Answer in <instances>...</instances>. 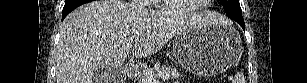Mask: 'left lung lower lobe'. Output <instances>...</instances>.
<instances>
[{"label": "left lung lower lobe", "mask_w": 307, "mask_h": 83, "mask_svg": "<svg viewBox=\"0 0 307 83\" xmlns=\"http://www.w3.org/2000/svg\"><path fill=\"white\" fill-rule=\"evenodd\" d=\"M240 24V26L244 29L245 26H244V23L243 22H238Z\"/></svg>", "instance_id": "1"}]
</instances>
